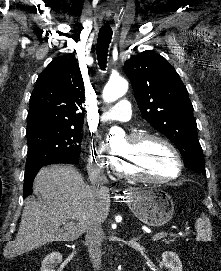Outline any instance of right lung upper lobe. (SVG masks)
I'll list each match as a JSON object with an SVG mask.
<instances>
[{
  "instance_id": "right-lung-upper-lobe-1",
  "label": "right lung upper lobe",
  "mask_w": 221,
  "mask_h": 271,
  "mask_svg": "<svg viewBox=\"0 0 221 271\" xmlns=\"http://www.w3.org/2000/svg\"><path fill=\"white\" fill-rule=\"evenodd\" d=\"M83 103V79L74 58L54 59L36 81L26 131L41 126L81 129Z\"/></svg>"
}]
</instances>
